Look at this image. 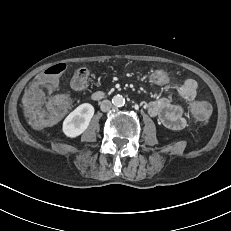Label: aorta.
Masks as SVG:
<instances>
[{"mask_svg":"<svg viewBox=\"0 0 231 231\" xmlns=\"http://www.w3.org/2000/svg\"><path fill=\"white\" fill-rule=\"evenodd\" d=\"M112 104L115 107H122L125 104V98L122 95H115L112 98Z\"/></svg>","mask_w":231,"mask_h":231,"instance_id":"762f6f07","label":"aorta"}]
</instances>
